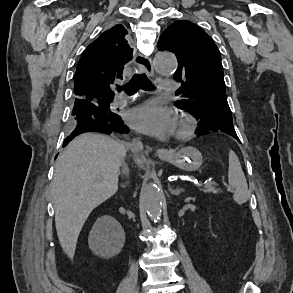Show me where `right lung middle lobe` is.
Listing matches in <instances>:
<instances>
[{
  "label": "right lung middle lobe",
  "mask_w": 293,
  "mask_h": 293,
  "mask_svg": "<svg viewBox=\"0 0 293 293\" xmlns=\"http://www.w3.org/2000/svg\"><path fill=\"white\" fill-rule=\"evenodd\" d=\"M92 102H94L98 107H100L104 111L110 110L111 100L109 99L97 98V99H93Z\"/></svg>",
  "instance_id": "1"
}]
</instances>
